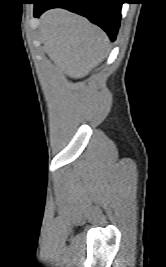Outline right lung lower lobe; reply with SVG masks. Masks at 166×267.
Returning a JSON list of instances; mask_svg holds the SVG:
<instances>
[{"label": "right lung lower lobe", "mask_w": 166, "mask_h": 267, "mask_svg": "<svg viewBox=\"0 0 166 267\" xmlns=\"http://www.w3.org/2000/svg\"><path fill=\"white\" fill-rule=\"evenodd\" d=\"M34 4L35 17L51 8H65L100 26L112 41L116 39L123 0H37Z\"/></svg>", "instance_id": "obj_1"}]
</instances>
